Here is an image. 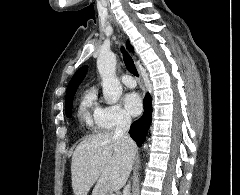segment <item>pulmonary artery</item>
<instances>
[{
    "mask_svg": "<svg viewBox=\"0 0 240 195\" xmlns=\"http://www.w3.org/2000/svg\"><path fill=\"white\" fill-rule=\"evenodd\" d=\"M122 81L124 84H126L127 86H134L135 85V81L133 78H130L129 75H124L122 78Z\"/></svg>",
    "mask_w": 240,
    "mask_h": 195,
    "instance_id": "e3ab8cb5",
    "label": "pulmonary artery"
}]
</instances>
